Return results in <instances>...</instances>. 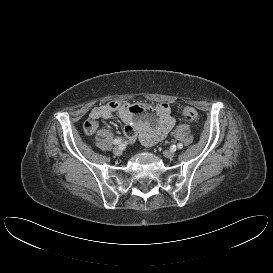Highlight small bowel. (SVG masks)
<instances>
[{
	"instance_id": "obj_1",
	"label": "small bowel",
	"mask_w": 273,
	"mask_h": 273,
	"mask_svg": "<svg viewBox=\"0 0 273 273\" xmlns=\"http://www.w3.org/2000/svg\"><path fill=\"white\" fill-rule=\"evenodd\" d=\"M117 115L125 124L124 133L130 142L136 138L145 146H152L163 140L176 123V118L165 102L151 107L144 103L109 101L93 108L84 123L86 135H93L100 119Z\"/></svg>"
}]
</instances>
